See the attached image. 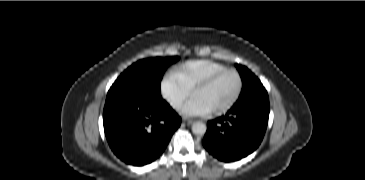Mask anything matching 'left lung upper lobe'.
I'll return each mask as SVG.
<instances>
[{
  "label": "left lung upper lobe",
  "mask_w": 365,
  "mask_h": 180,
  "mask_svg": "<svg viewBox=\"0 0 365 180\" xmlns=\"http://www.w3.org/2000/svg\"><path fill=\"white\" fill-rule=\"evenodd\" d=\"M236 67L243 82L240 97L265 89L260 80L249 69L239 64H236Z\"/></svg>",
  "instance_id": "obj_1"
}]
</instances>
